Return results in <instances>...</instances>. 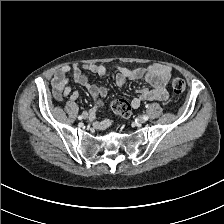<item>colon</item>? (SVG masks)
<instances>
[{
	"instance_id": "obj_1",
	"label": "colon",
	"mask_w": 224,
	"mask_h": 224,
	"mask_svg": "<svg viewBox=\"0 0 224 224\" xmlns=\"http://www.w3.org/2000/svg\"><path fill=\"white\" fill-rule=\"evenodd\" d=\"M171 87L175 94H183L186 90V82L180 77H175L171 81ZM112 111L123 118L130 116V105L122 99L115 100L112 103Z\"/></svg>"
}]
</instances>
